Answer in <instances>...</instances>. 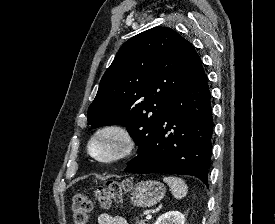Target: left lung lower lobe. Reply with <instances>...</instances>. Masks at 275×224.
Wrapping results in <instances>:
<instances>
[{
  "label": "left lung lower lobe",
  "instance_id": "left-lung-lower-lobe-1",
  "mask_svg": "<svg viewBox=\"0 0 275 224\" xmlns=\"http://www.w3.org/2000/svg\"><path fill=\"white\" fill-rule=\"evenodd\" d=\"M212 134L210 91L200 67L180 88L125 171L192 175L208 186Z\"/></svg>",
  "mask_w": 275,
  "mask_h": 224
}]
</instances>
